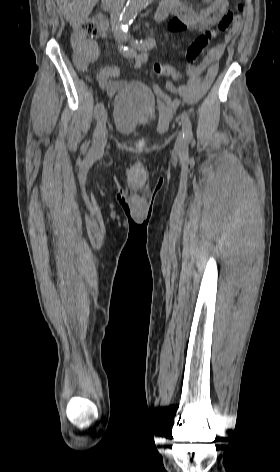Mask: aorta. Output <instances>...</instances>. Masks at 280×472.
Returning a JSON list of instances; mask_svg holds the SVG:
<instances>
[{"instance_id": "762f6f07", "label": "aorta", "mask_w": 280, "mask_h": 472, "mask_svg": "<svg viewBox=\"0 0 280 472\" xmlns=\"http://www.w3.org/2000/svg\"><path fill=\"white\" fill-rule=\"evenodd\" d=\"M151 1L152 0H129L120 15V24L123 27L127 26L129 22L135 18L138 12L145 8Z\"/></svg>"}]
</instances>
